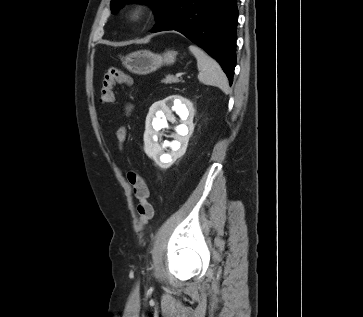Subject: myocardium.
I'll return each instance as SVG.
<instances>
[{
	"instance_id": "myocardium-1",
	"label": "myocardium",
	"mask_w": 363,
	"mask_h": 317,
	"mask_svg": "<svg viewBox=\"0 0 363 317\" xmlns=\"http://www.w3.org/2000/svg\"><path fill=\"white\" fill-rule=\"evenodd\" d=\"M150 13V6L146 3H135L126 12V19L129 23L138 24L144 21Z\"/></svg>"
}]
</instances>
